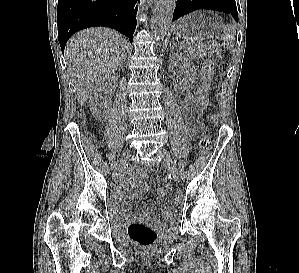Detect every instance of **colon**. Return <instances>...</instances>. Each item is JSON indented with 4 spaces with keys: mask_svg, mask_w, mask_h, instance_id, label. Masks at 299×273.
Masks as SVG:
<instances>
[{
    "mask_svg": "<svg viewBox=\"0 0 299 273\" xmlns=\"http://www.w3.org/2000/svg\"><path fill=\"white\" fill-rule=\"evenodd\" d=\"M199 53L203 56H211L217 53V47L213 44H202L199 46ZM213 60H208L201 73V83L196 93L195 98V113L200 115L202 111L208 106L209 102V87L211 79L214 74ZM213 145V138L209 135L202 137L199 141V148L201 154H206ZM183 200V192L176 190L173 194V201L179 204ZM127 232L132 241L142 247H149L153 245L157 239V231L143 223L133 222L128 225Z\"/></svg>",
    "mask_w": 299,
    "mask_h": 273,
    "instance_id": "1",
    "label": "colon"
}]
</instances>
